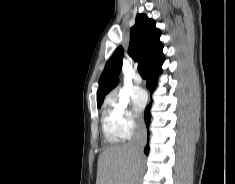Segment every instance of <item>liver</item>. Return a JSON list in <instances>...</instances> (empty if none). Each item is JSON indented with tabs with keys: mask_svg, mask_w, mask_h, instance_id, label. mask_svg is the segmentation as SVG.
I'll return each mask as SVG.
<instances>
[{
	"mask_svg": "<svg viewBox=\"0 0 235 184\" xmlns=\"http://www.w3.org/2000/svg\"><path fill=\"white\" fill-rule=\"evenodd\" d=\"M139 164L130 144L110 146L100 154L96 184H135Z\"/></svg>",
	"mask_w": 235,
	"mask_h": 184,
	"instance_id": "obj_1",
	"label": "liver"
}]
</instances>
